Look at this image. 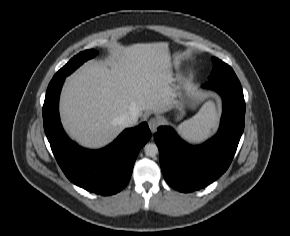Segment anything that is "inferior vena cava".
I'll use <instances>...</instances> for the list:
<instances>
[{"instance_id": "inferior-vena-cava-1", "label": "inferior vena cava", "mask_w": 290, "mask_h": 236, "mask_svg": "<svg viewBox=\"0 0 290 236\" xmlns=\"http://www.w3.org/2000/svg\"><path fill=\"white\" fill-rule=\"evenodd\" d=\"M138 113L136 111H128L124 114H122L119 118V122L125 126H131L134 125L138 121Z\"/></svg>"}]
</instances>
